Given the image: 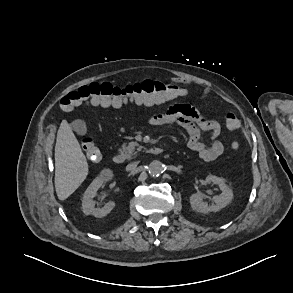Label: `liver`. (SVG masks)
<instances>
[{
    "label": "liver",
    "instance_id": "obj_1",
    "mask_svg": "<svg viewBox=\"0 0 293 293\" xmlns=\"http://www.w3.org/2000/svg\"><path fill=\"white\" fill-rule=\"evenodd\" d=\"M88 163L69 123L60 124L55 146V189L59 200L67 199L86 179Z\"/></svg>",
    "mask_w": 293,
    "mask_h": 293
}]
</instances>
